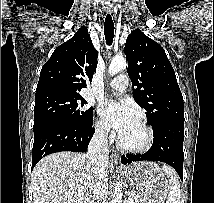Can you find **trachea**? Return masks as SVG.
I'll list each match as a JSON object with an SVG mask.
<instances>
[{"label": "trachea", "instance_id": "3493384b", "mask_svg": "<svg viewBox=\"0 0 214 203\" xmlns=\"http://www.w3.org/2000/svg\"><path fill=\"white\" fill-rule=\"evenodd\" d=\"M104 34L107 45H112L114 38V22L110 14H107L104 23Z\"/></svg>", "mask_w": 214, "mask_h": 203}]
</instances>
